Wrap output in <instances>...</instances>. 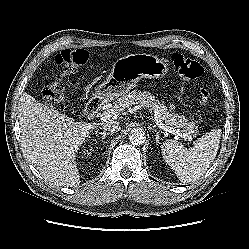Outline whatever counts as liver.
<instances>
[{
	"label": "liver",
	"instance_id": "obj_1",
	"mask_svg": "<svg viewBox=\"0 0 249 249\" xmlns=\"http://www.w3.org/2000/svg\"><path fill=\"white\" fill-rule=\"evenodd\" d=\"M19 125L24 153L40 174L60 186H78L76 153L97 124L75 122L23 93L19 104Z\"/></svg>",
	"mask_w": 249,
	"mask_h": 249
}]
</instances>
